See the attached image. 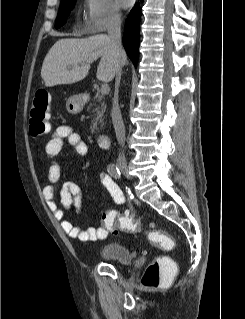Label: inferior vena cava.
Returning a JSON list of instances; mask_svg holds the SVG:
<instances>
[{
  "mask_svg": "<svg viewBox=\"0 0 245 319\" xmlns=\"http://www.w3.org/2000/svg\"><path fill=\"white\" fill-rule=\"evenodd\" d=\"M121 23H122L121 15L118 12H114L110 19V25L108 28V36L110 38L111 48L119 64L116 71L115 94H114L113 106L111 111V117H112L114 129H115L117 141L119 145H121L123 148L125 145V126L122 120V115H121V111H120L119 103H118V88H119L120 79H121L120 62L122 60V57L125 54L122 49ZM124 159H125L124 151H122L119 154V160H124Z\"/></svg>",
  "mask_w": 245,
  "mask_h": 319,
  "instance_id": "602c4592",
  "label": "inferior vena cava"
}]
</instances>
